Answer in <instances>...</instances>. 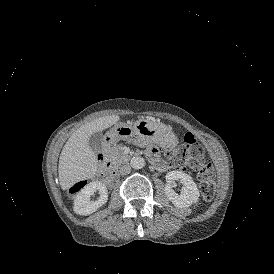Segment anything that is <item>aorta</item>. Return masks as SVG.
<instances>
[{
  "mask_svg": "<svg viewBox=\"0 0 274 274\" xmlns=\"http://www.w3.org/2000/svg\"><path fill=\"white\" fill-rule=\"evenodd\" d=\"M130 165L134 169H141L145 166V160L142 157H133L130 161Z\"/></svg>",
  "mask_w": 274,
  "mask_h": 274,
  "instance_id": "762f6f07",
  "label": "aorta"
}]
</instances>
